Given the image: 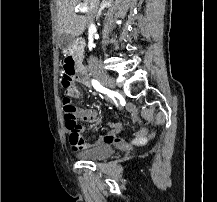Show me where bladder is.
I'll return each instance as SVG.
<instances>
[{"label": "bladder", "mask_w": 217, "mask_h": 202, "mask_svg": "<svg viewBox=\"0 0 217 202\" xmlns=\"http://www.w3.org/2000/svg\"><path fill=\"white\" fill-rule=\"evenodd\" d=\"M114 148L110 144L98 145L94 149L79 153V157L84 159H102L111 157Z\"/></svg>", "instance_id": "1"}]
</instances>
